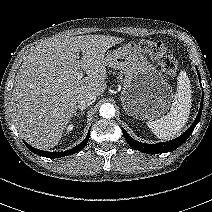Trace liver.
<instances>
[{
	"label": "liver",
	"instance_id": "liver-1",
	"mask_svg": "<svg viewBox=\"0 0 212 212\" xmlns=\"http://www.w3.org/2000/svg\"><path fill=\"white\" fill-rule=\"evenodd\" d=\"M122 41L106 35L55 36L29 53L18 70L11 97L16 128L28 143L39 149L58 144L78 95L99 96L105 91V53ZM83 71L87 76L78 79Z\"/></svg>",
	"mask_w": 212,
	"mask_h": 212
}]
</instances>
